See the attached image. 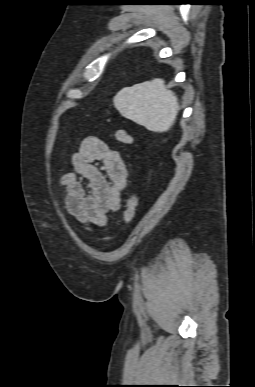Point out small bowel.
Segmentation results:
<instances>
[{
	"mask_svg": "<svg viewBox=\"0 0 255 387\" xmlns=\"http://www.w3.org/2000/svg\"><path fill=\"white\" fill-rule=\"evenodd\" d=\"M73 171L65 173V208L87 229L103 227L107 214L120 208L128 171L118 151L89 136L72 155Z\"/></svg>",
	"mask_w": 255,
	"mask_h": 387,
	"instance_id": "obj_1",
	"label": "small bowel"
}]
</instances>
